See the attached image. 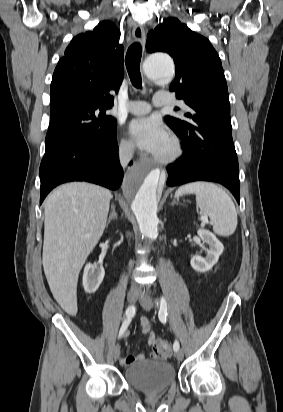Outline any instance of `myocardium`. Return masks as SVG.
<instances>
[{"label":"myocardium","mask_w":283,"mask_h":412,"mask_svg":"<svg viewBox=\"0 0 283 412\" xmlns=\"http://www.w3.org/2000/svg\"><path fill=\"white\" fill-rule=\"evenodd\" d=\"M171 151L167 155H154V160L161 164H169L178 160L183 154V146L179 138L174 134H169Z\"/></svg>","instance_id":"f54148a6"}]
</instances>
